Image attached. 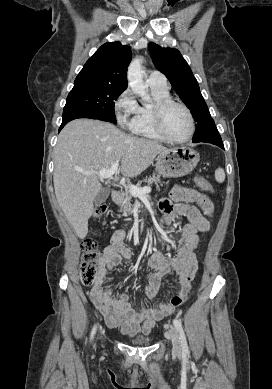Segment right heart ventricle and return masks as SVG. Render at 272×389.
Wrapping results in <instances>:
<instances>
[{
	"mask_svg": "<svg viewBox=\"0 0 272 389\" xmlns=\"http://www.w3.org/2000/svg\"><path fill=\"white\" fill-rule=\"evenodd\" d=\"M150 90L154 103L159 100L169 98L168 89L150 87ZM152 106L153 105L138 106L136 115L129 124V129L136 135H140L149 139L161 140L162 138L157 134L153 126Z\"/></svg>",
	"mask_w": 272,
	"mask_h": 389,
	"instance_id": "obj_1",
	"label": "right heart ventricle"
}]
</instances>
